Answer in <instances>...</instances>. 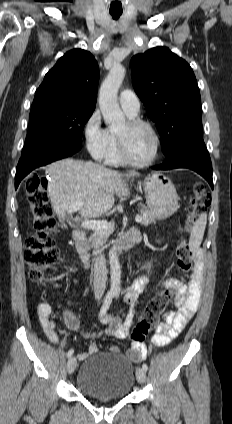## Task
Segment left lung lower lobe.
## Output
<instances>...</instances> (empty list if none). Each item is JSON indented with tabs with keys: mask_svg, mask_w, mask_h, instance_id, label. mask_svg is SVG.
Masks as SVG:
<instances>
[{
	"mask_svg": "<svg viewBox=\"0 0 232 424\" xmlns=\"http://www.w3.org/2000/svg\"><path fill=\"white\" fill-rule=\"evenodd\" d=\"M189 168L203 176L213 189L212 164L203 141L202 130L183 137L166 155V160L156 170Z\"/></svg>",
	"mask_w": 232,
	"mask_h": 424,
	"instance_id": "left-lung-lower-lobe-1",
	"label": "left lung lower lobe"
}]
</instances>
